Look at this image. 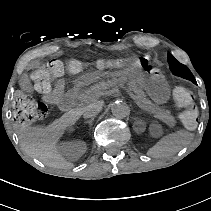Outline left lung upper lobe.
<instances>
[{
	"mask_svg": "<svg viewBox=\"0 0 211 211\" xmlns=\"http://www.w3.org/2000/svg\"><path fill=\"white\" fill-rule=\"evenodd\" d=\"M167 57H168L169 68L174 75L187 79L193 83H196L193 74L191 73V71L187 66L177 61L174 58V56H172L170 53L167 54Z\"/></svg>",
	"mask_w": 211,
	"mask_h": 211,
	"instance_id": "5c2ea615",
	"label": "left lung upper lobe"
}]
</instances>
